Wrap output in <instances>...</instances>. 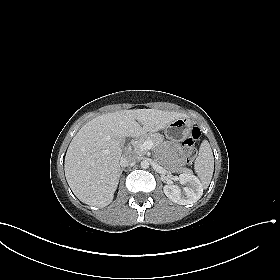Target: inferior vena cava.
Masks as SVG:
<instances>
[{"label": "inferior vena cava", "mask_w": 280, "mask_h": 280, "mask_svg": "<svg viewBox=\"0 0 280 280\" xmlns=\"http://www.w3.org/2000/svg\"><path fill=\"white\" fill-rule=\"evenodd\" d=\"M137 162V157L134 154H124L120 158V166L122 168L128 167L130 165H134Z\"/></svg>", "instance_id": "inferior-vena-cava-1"}]
</instances>
